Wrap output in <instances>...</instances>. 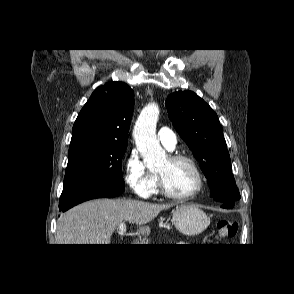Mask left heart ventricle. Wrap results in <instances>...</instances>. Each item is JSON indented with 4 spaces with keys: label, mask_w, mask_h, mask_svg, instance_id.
Returning a JSON list of instances; mask_svg holds the SVG:
<instances>
[{
    "label": "left heart ventricle",
    "mask_w": 294,
    "mask_h": 294,
    "mask_svg": "<svg viewBox=\"0 0 294 294\" xmlns=\"http://www.w3.org/2000/svg\"><path fill=\"white\" fill-rule=\"evenodd\" d=\"M168 188L176 194H188L197 185L196 175L188 163H171L166 159L158 169Z\"/></svg>",
    "instance_id": "left-heart-ventricle-1"
}]
</instances>
